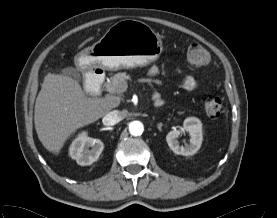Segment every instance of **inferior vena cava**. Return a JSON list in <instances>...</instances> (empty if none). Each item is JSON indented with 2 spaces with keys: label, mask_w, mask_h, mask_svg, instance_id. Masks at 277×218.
I'll return each mask as SVG.
<instances>
[{
  "label": "inferior vena cava",
  "mask_w": 277,
  "mask_h": 218,
  "mask_svg": "<svg viewBox=\"0 0 277 218\" xmlns=\"http://www.w3.org/2000/svg\"><path fill=\"white\" fill-rule=\"evenodd\" d=\"M123 119V115L121 111L119 110H113L107 113L103 119L102 122L105 126H113L120 122Z\"/></svg>",
  "instance_id": "inferior-vena-cava-1"
}]
</instances>
